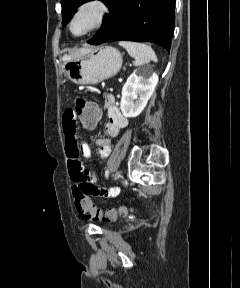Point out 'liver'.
Returning <instances> with one entry per match:
<instances>
[{
	"label": "liver",
	"instance_id": "1",
	"mask_svg": "<svg viewBox=\"0 0 240 288\" xmlns=\"http://www.w3.org/2000/svg\"><path fill=\"white\" fill-rule=\"evenodd\" d=\"M85 51H86V49H79V50L75 51L74 53H72L71 55H67L66 54V55L63 56V60L67 61L68 59H70V58H72V57H74L76 55H79L81 53H84Z\"/></svg>",
	"mask_w": 240,
	"mask_h": 288
}]
</instances>
